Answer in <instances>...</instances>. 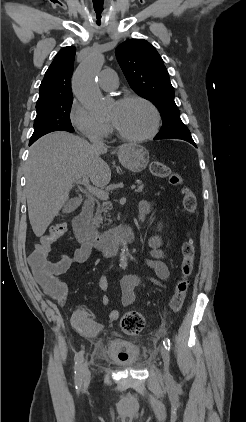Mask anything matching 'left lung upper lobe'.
<instances>
[{
  "label": "left lung upper lobe",
  "mask_w": 246,
  "mask_h": 422,
  "mask_svg": "<svg viewBox=\"0 0 246 422\" xmlns=\"http://www.w3.org/2000/svg\"><path fill=\"white\" fill-rule=\"evenodd\" d=\"M116 57L130 87L150 100L162 116L163 125L155 137L192 138L180 118L168 71L156 49L144 39H130L116 48Z\"/></svg>",
  "instance_id": "left-lung-upper-lobe-1"
}]
</instances>
